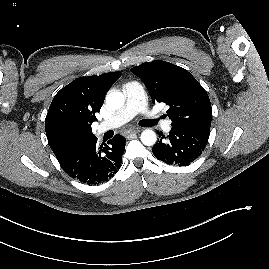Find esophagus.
Instances as JSON below:
<instances>
[{
	"instance_id": "1",
	"label": "esophagus",
	"mask_w": 269,
	"mask_h": 269,
	"mask_svg": "<svg viewBox=\"0 0 269 269\" xmlns=\"http://www.w3.org/2000/svg\"><path fill=\"white\" fill-rule=\"evenodd\" d=\"M139 132L138 129H133V130H129L125 133L126 136L128 135H133V134H137Z\"/></svg>"
}]
</instances>
